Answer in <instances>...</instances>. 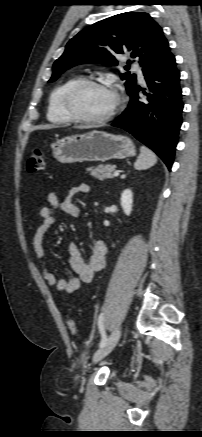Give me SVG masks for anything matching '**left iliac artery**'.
<instances>
[{
  "label": "left iliac artery",
  "mask_w": 202,
  "mask_h": 437,
  "mask_svg": "<svg viewBox=\"0 0 202 437\" xmlns=\"http://www.w3.org/2000/svg\"><path fill=\"white\" fill-rule=\"evenodd\" d=\"M103 320H104V314L101 313L98 317V328H99V331L101 334V341H100L99 347H103L107 341V335H106L105 330H104Z\"/></svg>",
  "instance_id": "left-iliac-artery-1"
}]
</instances>
